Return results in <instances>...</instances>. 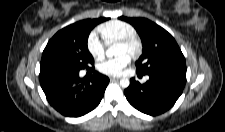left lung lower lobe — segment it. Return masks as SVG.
Returning <instances> with one entry per match:
<instances>
[{"label":"left lung lower lobe","instance_id":"left-lung-lower-lobe-1","mask_svg":"<svg viewBox=\"0 0 225 132\" xmlns=\"http://www.w3.org/2000/svg\"><path fill=\"white\" fill-rule=\"evenodd\" d=\"M148 75L145 84L132 78L124 94L134 108L155 116L170 109L180 97L186 83V71H155Z\"/></svg>","mask_w":225,"mask_h":132}]
</instances>
